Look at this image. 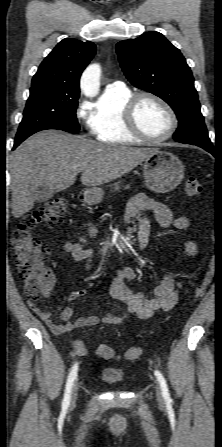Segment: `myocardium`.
Wrapping results in <instances>:
<instances>
[{
  "instance_id": "obj_1",
  "label": "myocardium",
  "mask_w": 222,
  "mask_h": 447,
  "mask_svg": "<svg viewBox=\"0 0 222 447\" xmlns=\"http://www.w3.org/2000/svg\"><path fill=\"white\" fill-rule=\"evenodd\" d=\"M143 99H150L158 103L169 115L170 118V128L167 133L161 137L154 138L147 135L138 125L136 119V112L140 102ZM123 122L125 127L137 138L149 142V143H161L170 139L176 132L178 127V119L175 111L170 106V104L157 94L152 92H139L132 95L125 103L123 109Z\"/></svg>"
}]
</instances>
